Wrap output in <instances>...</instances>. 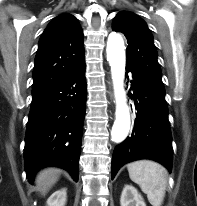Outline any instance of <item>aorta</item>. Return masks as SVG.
Segmentation results:
<instances>
[{"label":"aorta","mask_w":197,"mask_h":206,"mask_svg":"<svg viewBox=\"0 0 197 206\" xmlns=\"http://www.w3.org/2000/svg\"><path fill=\"white\" fill-rule=\"evenodd\" d=\"M107 60L111 66V75L116 100V119L111 130L112 141L122 142L130 130V112L124 90L125 46L122 37L111 33L107 41Z\"/></svg>","instance_id":"obj_1"}]
</instances>
